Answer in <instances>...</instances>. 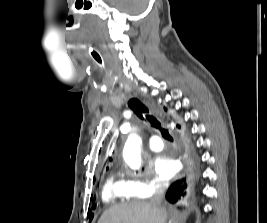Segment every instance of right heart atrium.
Listing matches in <instances>:
<instances>
[{
  "label": "right heart atrium",
  "mask_w": 267,
  "mask_h": 223,
  "mask_svg": "<svg viewBox=\"0 0 267 223\" xmlns=\"http://www.w3.org/2000/svg\"><path fill=\"white\" fill-rule=\"evenodd\" d=\"M127 183L131 194L142 198L152 197L160 192L164 187L160 180L155 178H145L139 174L132 175L127 180Z\"/></svg>",
  "instance_id": "1"
}]
</instances>
